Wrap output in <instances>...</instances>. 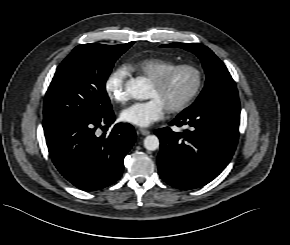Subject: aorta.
Returning a JSON list of instances; mask_svg holds the SVG:
<instances>
[{"mask_svg":"<svg viewBox=\"0 0 290 245\" xmlns=\"http://www.w3.org/2000/svg\"><path fill=\"white\" fill-rule=\"evenodd\" d=\"M149 83L146 78L138 77L130 79L126 83V92L136 100H145L149 98ZM160 142L156 135H148L144 139V147L149 151H155L159 148Z\"/></svg>","mask_w":290,"mask_h":245,"instance_id":"1","label":"aorta"}]
</instances>
